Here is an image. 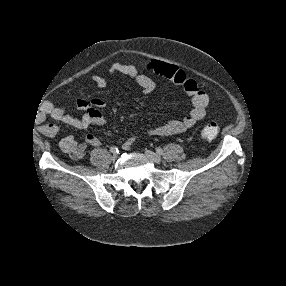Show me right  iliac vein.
<instances>
[{"mask_svg": "<svg viewBox=\"0 0 286 286\" xmlns=\"http://www.w3.org/2000/svg\"><path fill=\"white\" fill-rule=\"evenodd\" d=\"M116 159H117V155L114 154V155L112 156V160L115 161Z\"/></svg>", "mask_w": 286, "mask_h": 286, "instance_id": "right-iliac-vein-1", "label": "right iliac vein"}]
</instances>
